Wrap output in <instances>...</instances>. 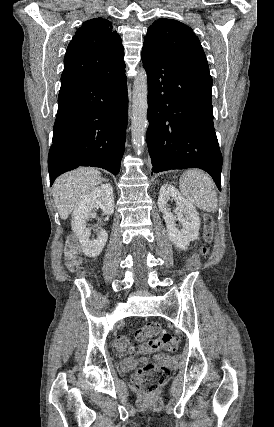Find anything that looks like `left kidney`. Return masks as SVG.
Here are the masks:
<instances>
[{
	"label": "left kidney",
	"mask_w": 274,
	"mask_h": 427,
	"mask_svg": "<svg viewBox=\"0 0 274 427\" xmlns=\"http://www.w3.org/2000/svg\"><path fill=\"white\" fill-rule=\"evenodd\" d=\"M169 200L176 202V215L171 214L169 208ZM158 208L162 212L163 217L166 221V231L175 247L179 249H187L190 241L198 239L200 217L199 214L190 202H187L180 192L165 184L161 186L158 198ZM176 219L181 223V229L176 227Z\"/></svg>",
	"instance_id": "5707ae66"
}]
</instances>
